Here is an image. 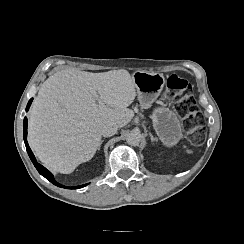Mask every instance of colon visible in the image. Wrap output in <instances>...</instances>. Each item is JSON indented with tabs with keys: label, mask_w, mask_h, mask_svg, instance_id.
Returning <instances> with one entry per match:
<instances>
[{
	"label": "colon",
	"mask_w": 244,
	"mask_h": 244,
	"mask_svg": "<svg viewBox=\"0 0 244 244\" xmlns=\"http://www.w3.org/2000/svg\"><path fill=\"white\" fill-rule=\"evenodd\" d=\"M163 98L174 102L178 115L185 117L191 143L202 144L206 139L204 117L192 96L191 84L177 75H171L166 81Z\"/></svg>",
	"instance_id": "1"
}]
</instances>
